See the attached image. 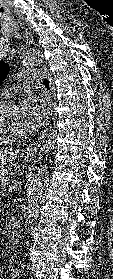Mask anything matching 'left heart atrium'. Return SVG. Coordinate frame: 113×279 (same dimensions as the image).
<instances>
[{"instance_id":"obj_1","label":"left heart atrium","mask_w":113,"mask_h":279,"mask_svg":"<svg viewBox=\"0 0 113 279\" xmlns=\"http://www.w3.org/2000/svg\"><path fill=\"white\" fill-rule=\"evenodd\" d=\"M48 104L44 100L30 97L22 105L21 119L26 132L39 128L48 115Z\"/></svg>"}]
</instances>
